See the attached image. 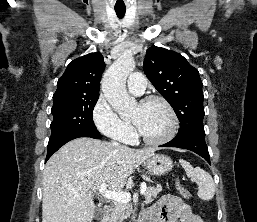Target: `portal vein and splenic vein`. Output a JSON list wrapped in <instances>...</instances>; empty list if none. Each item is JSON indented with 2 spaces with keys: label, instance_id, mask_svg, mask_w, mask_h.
Returning <instances> with one entry per match:
<instances>
[{
  "label": "portal vein and splenic vein",
  "instance_id": "portal-vein-and-splenic-vein-1",
  "mask_svg": "<svg viewBox=\"0 0 257 222\" xmlns=\"http://www.w3.org/2000/svg\"><path fill=\"white\" fill-rule=\"evenodd\" d=\"M100 194L105 197L106 199L113 200L120 203H128L131 200V195L129 193L120 192V191H110L107 190V185L102 184L99 188ZM146 192V184H141V195L145 194Z\"/></svg>",
  "mask_w": 257,
  "mask_h": 222
}]
</instances>
